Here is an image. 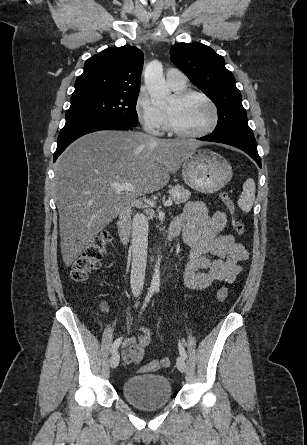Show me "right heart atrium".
<instances>
[{"mask_svg": "<svg viewBox=\"0 0 307 445\" xmlns=\"http://www.w3.org/2000/svg\"><path fill=\"white\" fill-rule=\"evenodd\" d=\"M135 115L144 131L159 135L164 127V115L145 92H140L134 103Z\"/></svg>", "mask_w": 307, "mask_h": 445, "instance_id": "obj_1", "label": "right heart atrium"}]
</instances>
